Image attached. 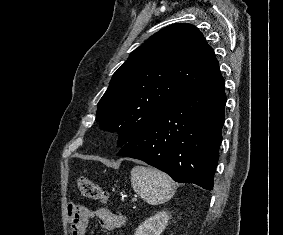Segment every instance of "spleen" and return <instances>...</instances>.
Masks as SVG:
<instances>
[{
    "label": "spleen",
    "instance_id": "obj_1",
    "mask_svg": "<svg viewBox=\"0 0 283 235\" xmlns=\"http://www.w3.org/2000/svg\"><path fill=\"white\" fill-rule=\"evenodd\" d=\"M133 190L148 204L156 206L169 201L176 189L170 176L155 168L134 166L131 170Z\"/></svg>",
    "mask_w": 283,
    "mask_h": 235
}]
</instances>
